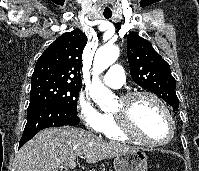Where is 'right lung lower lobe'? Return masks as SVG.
<instances>
[{
  "mask_svg": "<svg viewBox=\"0 0 199 171\" xmlns=\"http://www.w3.org/2000/svg\"><path fill=\"white\" fill-rule=\"evenodd\" d=\"M80 122L77 114L51 101H37L29 104L27 123L19 143L21 147L37 132L48 127L75 126Z\"/></svg>",
  "mask_w": 199,
  "mask_h": 171,
  "instance_id": "1",
  "label": "right lung lower lobe"
}]
</instances>
